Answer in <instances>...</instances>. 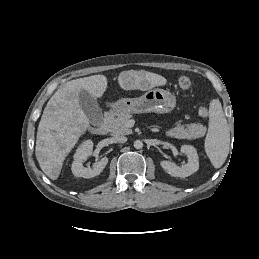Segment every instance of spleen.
<instances>
[{
    "instance_id": "obj_1",
    "label": "spleen",
    "mask_w": 259,
    "mask_h": 259,
    "mask_svg": "<svg viewBox=\"0 0 259 259\" xmlns=\"http://www.w3.org/2000/svg\"><path fill=\"white\" fill-rule=\"evenodd\" d=\"M230 133L222 105L214 99L209 107V127L205 139V152L214 168H220L229 153Z\"/></svg>"
}]
</instances>
